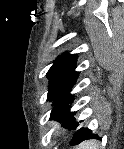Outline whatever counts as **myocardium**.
<instances>
[{
	"label": "myocardium",
	"instance_id": "myocardium-1",
	"mask_svg": "<svg viewBox=\"0 0 124 149\" xmlns=\"http://www.w3.org/2000/svg\"><path fill=\"white\" fill-rule=\"evenodd\" d=\"M73 123V113L63 112L53 117L48 124V135L52 138H59L65 134Z\"/></svg>",
	"mask_w": 124,
	"mask_h": 149
}]
</instances>
